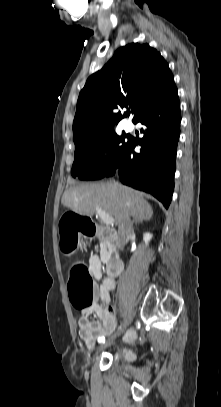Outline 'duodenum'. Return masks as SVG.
<instances>
[{
	"label": "duodenum",
	"instance_id": "410a0bca",
	"mask_svg": "<svg viewBox=\"0 0 221 407\" xmlns=\"http://www.w3.org/2000/svg\"><path fill=\"white\" fill-rule=\"evenodd\" d=\"M102 230H103V228H101V231ZM105 230L110 232L111 234L113 233L112 230H109V229H105ZM101 231H96V232L100 233ZM123 269H124L123 261L117 257L111 258L107 264L108 275L112 278H116V277L120 276L121 273L123 272Z\"/></svg>",
	"mask_w": 221,
	"mask_h": 407
}]
</instances>
